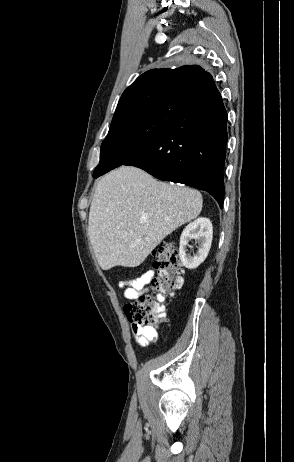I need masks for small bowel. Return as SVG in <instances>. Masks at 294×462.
<instances>
[{"label": "small bowel", "mask_w": 294, "mask_h": 462, "mask_svg": "<svg viewBox=\"0 0 294 462\" xmlns=\"http://www.w3.org/2000/svg\"><path fill=\"white\" fill-rule=\"evenodd\" d=\"M153 277L154 272L149 270L137 278L120 281L118 283V287L123 290L124 298L128 301H132L137 299L140 295L149 292V284ZM158 330V325L144 326L135 323L131 324L132 337L134 341L142 347H145L157 340Z\"/></svg>", "instance_id": "1"}]
</instances>
